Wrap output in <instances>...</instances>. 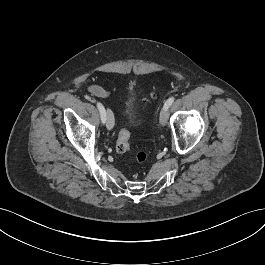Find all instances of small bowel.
<instances>
[{"label": "small bowel", "instance_id": "c3829d8e", "mask_svg": "<svg viewBox=\"0 0 265 265\" xmlns=\"http://www.w3.org/2000/svg\"><path fill=\"white\" fill-rule=\"evenodd\" d=\"M88 91L92 96L99 97V98H107L111 94L109 90H106L99 85H90L88 88Z\"/></svg>", "mask_w": 265, "mask_h": 265}]
</instances>
